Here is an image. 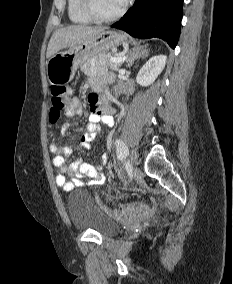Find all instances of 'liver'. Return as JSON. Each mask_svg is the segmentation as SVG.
Here are the masks:
<instances>
[{
    "label": "liver",
    "mask_w": 233,
    "mask_h": 284,
    "mask_svg": "<svg viewBox=\"0 0 233 284\" xmlns=\"http://www.w3.org/2000/svg\"><path fill=\"white\" fill-rule=\"evenodd\" d=\"M104 30L105 28L102 27L81 25H71L57 29L49 41L46 57L50 59L62 49L73 48L83 42H88Z\"/></svg>",
    "instance_id": "6515ba94"
}]
</instances>
